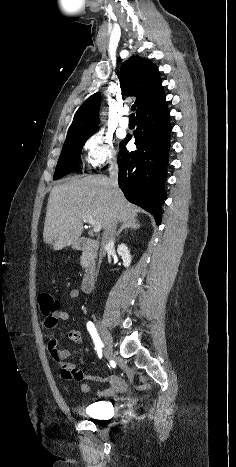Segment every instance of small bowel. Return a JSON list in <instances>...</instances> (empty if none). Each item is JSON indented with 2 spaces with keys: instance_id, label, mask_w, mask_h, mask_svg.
Here are the masks:
<instances>
[{
  "instance_id": "c3829d8e",
  "label": "small bowel",
  "mask_w": 236,
  "mask_h": 467,
  "mask_svg": "<svg viewBox=\"0 0 236 467\" xmlns=\"http://www.w3.org/2000/svg\"><path fill=\"white\" fill-rule=\"evenodd\" d=\"M69 297L72 300H77L79 297V291L76 288L69 289ZM68 303L65 302L63 308L52 316L45 317V326L46 328L53 330L58 323V320H67L69 318V313L67 310ZM67 338L71 342L76 344L81 343L82 335L79 330L73 329L67 333ZM48 349L53 358V360L60 366L61 377L68 381H77L85 382L81 385V391L88 393L92 390V387L86 381L102 382L107 383L108 387L104 390H97L96 395L98 397H109L115 394L116 392L122 391L125 386V382L122 378L116 375H101L93 376L86 374L80 368L76 367L74 364L67 362L66 359L69 357V350L65 348H59L56 338L51 335L48 341Z\"/></svg>"
}]
</instances>
